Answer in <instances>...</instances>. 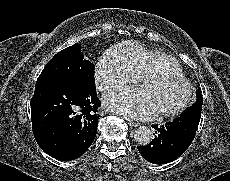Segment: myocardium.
Listing matches in <instances>:
<instances>
[{
	"instance_id": "myocardium-1",
	"label": "myocardium",
	"mask_w": 230,
	"mask_h": 181,
	"mask_svg": "<svg viewBox=\"0 0 230 181\" xmlns=\"http://www.w3.org/2000/svg\"><path fill=\"white\" fill-rule=\"evenodd\" d=\"M153 80L180 82L185 87L184 96L177 105L171 108L156 110L157 114L166 116L175 115L183 111L188 106L192 98V86L190 82L184 77V75L178 76L168 72H149L140 78L139 88L143 89L146 84Z\"/></svg>"
}]
</instances>
